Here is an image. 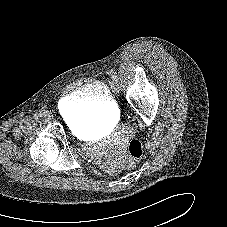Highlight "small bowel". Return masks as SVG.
<instances>
[{"mask_svg":"<svg viewBox=\"0 0 227 227\" xmlns=\"http://www.w3.org/2000/svg\"><path fill=\"white\" fill-rule=\"evenodd\" d=\"M120 155V151L108 152L99 156L97 162L102 168L108 171H115L120 160Z\"/></svg>","mask_w":227,"mask_h":227,"instance_id":"c3829d8e","label":"small bowel"}]
</instances>
